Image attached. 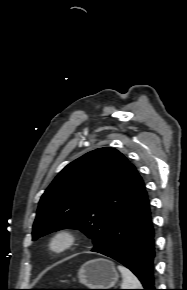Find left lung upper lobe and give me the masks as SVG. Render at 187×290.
<instances>
[{"label":"left lung upper lobe","mask_w":187,"mask_h":290,"mask_svg":"<svg viewBox=\"0 0 187 290\" xmlns=\"http://www.w3.org/2000/svg\"><path fill=\"white\" fill-rule=\"evenodd\" d=\"M142 184L136 168L114 148H99L83 155L68 164L42 195L33 240L74 228L92 238L94 248L98 247Z\"/></svg>","instance_id":"5c2ea615"}]
</instances>
